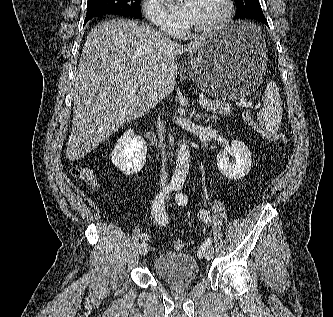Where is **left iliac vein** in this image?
<instances>
[{
    "label": "left iliac vein",
    "instance_id": "left-iliac-vein-1",
    "mask_svg": "<svg viewBox=\"0 0 333 317\" xmlns=\"http://www.w3.org/2000/svg\"><path fill=\"white\" fill-rule=\"evenodd\" d=\"M214 252H213V248L209 247L205 253V258L207 260H211L213 258Z\"/></svg>",
    "mask_w": 333,
    "mask_h": 317
}]
</instances>
